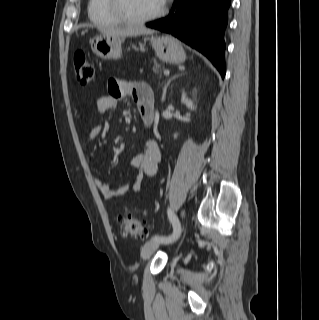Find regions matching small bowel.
Here are the masks:
<instances>
[{
    "label": "small bowel",
    "mask_w": 319,
    "mask_h": 320,
    "mask_svg": "<svg viewBox=\"0 0 319 320\" xmlns=\"http://www.w3.org/2000/svg\"><path fill=\"white\" fill-rule=\"evenodd\" d=\"M127 97L134 99L139 112L143 109L154 110L152 91L146 83L111 79L108 85V94L101 96L96 101V112L98 114H104L107 111L115 110L119 101ZM101 131V126H93L88 132V141L95 140ZM160 160L161 151L158 144L153 140H148L145 143L143 151L136 154L130 161V166L134 171L131 181L118 188H111L102 178L96 177L94 179L95 184L106 200L122 196L128 191L137 194L142 189L143 176H154L157 173Z\"/></svg>",
    "instance_id": "1"
}]
</instances>
